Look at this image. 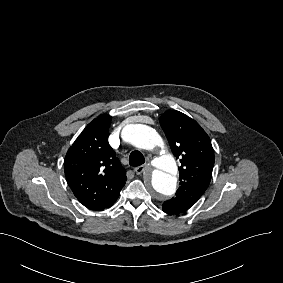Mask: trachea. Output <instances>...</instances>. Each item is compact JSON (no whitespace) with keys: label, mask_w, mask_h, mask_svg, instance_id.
Here are the masks:
<instances>
[{"label":"trachea","mask_w":283,"mask_h":283,"mask_svg":"<svg viewBox=\"0 0 283 283\" xmlns=\"http://www.w3.org/2000/svg\"><path fill=\"white\" fill-rule=\"evenodd\" d=\"M144 162H145L144 156L140 151L134 150L133 152L130 153L129 164L132 167H138L142 165Z\"/></svg>","instance_id":"obj_1"}]
</instances>
